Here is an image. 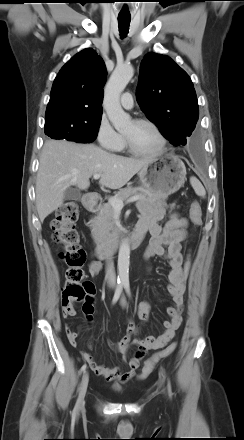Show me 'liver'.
<instances>
[{
	"label": "liver",
	"instance_id": "obj_1",
	"mask_svg": "<svg viewBox=\"0 0 244 440\" xmlns=\"http://www.w3.org/2000/svg\"><path fill=\"white\" fill-rule=\"evenodd\" d=\"M152 160L118 156L94 144L46 141L36 179V208L40 221L63 204L64 192L70 186L86 190L89 179L94 174H101L100 185L120 189Z\"/></svg>",
	"mask_w": 244,
	"mask_h": 440
}]
</instances>
